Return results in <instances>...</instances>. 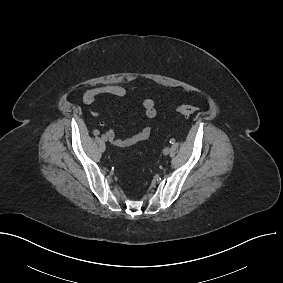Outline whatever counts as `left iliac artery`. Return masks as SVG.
I'll return each instance as SVG.
<instances>
[{
    "label": "left iliac artery",
    "instance_id": "left-iliac-artery-1",
    "mask_svg": "<svg viewBox=\"0 0 283 283\" xmlns=\"http://www.w3.org/2000/svg\"><path fill=\"white\" fill-rule=\"evenodd\" d=\"M170 143L174 144L175 143V139L174 138L170 139Z\"/></svg>",
    "mask_w": 283,
    "mask_h": 283
}]
</instances>
